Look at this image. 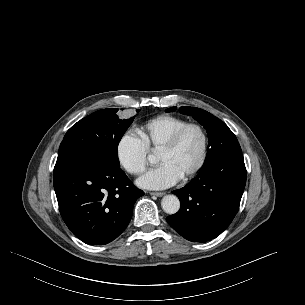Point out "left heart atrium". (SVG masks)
I'll list each match as a JSON object with an SVG mask.
<instances>
[{
	"mask_svg": "<svg viewBox=\"0 0 305 305\" xmlns=\"http://www.w3.org/2000/svg\"><path fill=\"white\" fill-rule=\"evenodd\" d=\"M182 178L170 164L161 163L138 180V185L146 189H165L173 186Z\"/></svg>",
	"mask_w": 305,
	"mask_h": 305,
	"instance_id": "1",
	"label": "left heart atrium"
}]
</instances>
